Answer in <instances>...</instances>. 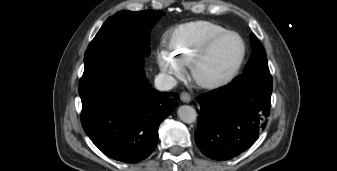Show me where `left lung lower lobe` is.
I'll list each match as a JSON object with an SVG mask.
<instances>
[{"label": "left lung lower lobe", "mask_w": 337, "mask_h": 171, "mask_svg": "<svg viewBox=\"0 0 337 171\" xmlns=\"http://www.w3.org/2000/svg\"><path fill=\"white\" fill-rule=\"evenodd\" d=\"M272 81L244 79L198 97L195 141L207 157L229 160L248 149L270 114Z\"/></svg>", "instance_id": "obj_1"}]
</instances>
